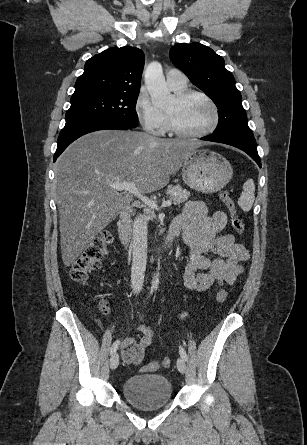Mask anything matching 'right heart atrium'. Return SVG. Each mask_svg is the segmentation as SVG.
<instances>
[{
  "label": "right heart atrium",
  "mask_w": 307,
  "mask_h": 445,
  "mask_svg": "<svg viewBox=\"0 0 307 445\" xmlns=\"http://www.w3.org/2000/svg\"><path fill=\"white\" fill-rule=\"evenodd\" d=\"M134 113L144 131L152 135L161 134L164 115L145 91L138 93L134 102Z\"/></svg>",
  "instance_id": "1"
}]
</instances>
